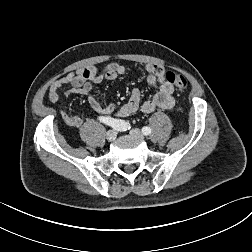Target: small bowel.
Returning <instances> with one entry per match:
<instances>
[{
    "label": "small bowel",
    "mask_w": 252,
    "mask_h": 252,
    "mask_svg": "<svg viewBox=\"0 0 252 252\" xmlns=\"http://www.w3.org/2000/svg\"><path fill=\"white\" fill-rule=\"evenodd\" d=\"M144 70L147 73L148 84L151 86H158V91L152 98L142 102L139 88H134L131 91L128 101L123 105L136 106L137 111L141 110L145 114H150L158 108H172L175 104V98L173 96L174 86L166 80L164 68L156 64H145ZM126 72V66L117 62L110 63L102 72H98L93 66L80 69L76 73H69L55 81L48 90V99L53 103L58 102L60 100V91L66 86H70L69 89L64 91V95L84 96L92 110L100 115V117L115 115L118 118H125L130 114L112 111L110 105H112L113 102L106 106L101 105L91 94V91L94 84H99L104 80H115L126 74ZM60 116L70 126L79 127L83 123L80 114L60 112Z\"/></svg>",
    "instance_id": "c3829d8e"
}]
</instances>
